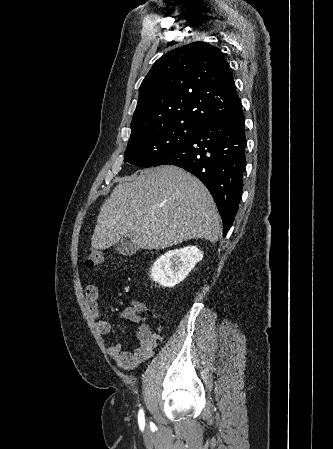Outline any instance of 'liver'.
I'll return each instance as SVG.
<instances>
[{"label": "liver", "mask_w": 333, "mask_h": 449, "mask_svg": "<svg viewBox=\"0 0 333 449\" xmlns=\"http://www.w3.org/2000/svg\"><path fill=\"white\" fill-rule=\"evenodd\" d=\"M220 234V216L205 185L166 165L119 179L101 207L91 245L103 250L131 237L138 248L157 250L187 239L215 243Z\"/></svg>", "instance_id": "6515ba94"}]
</instances>
